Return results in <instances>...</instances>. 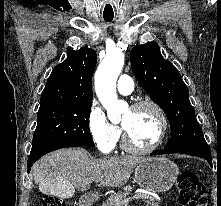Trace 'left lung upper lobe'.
Instances as JSON below:
<instances>
[{
  "label": "left lung upper lobe",
  "mask_w": 221,
  "mask_h": 206,
  "mask_svg": "<svg viewBox=\"0 0 221 206\" xmlns=\"http://www.w3.org/2000/svg\"><path fill=\"white\" fill-rule=\"evenodd\" d=\"M133 73L141 87L168 117L171 138L165 149L210 150L189 100L187 86L157 43L135 46L130 53Z\"/></svg>",
  "instance_id": "5c2ea615"
}]
</instances>
